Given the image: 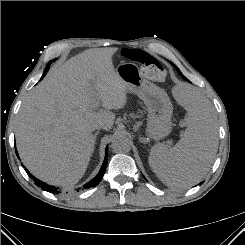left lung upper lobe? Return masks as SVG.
<instances>
[{"mask_svg":"<svg viewBox=\"0 0 245 245\" xmlns=\"http://www.w3.org/2000/svg\"><path fill=\"white\" fill-rule=\"evenodd\" d=\"M176 69L178 70V72L180 73V75L182 76V77H184L183 75H182V73L180 72V70L176 67Z\"/></svg>","mask_w":245,"mask_h":245,"instance_id":"1","label":"left lung upper lobe"}]
</instances>
